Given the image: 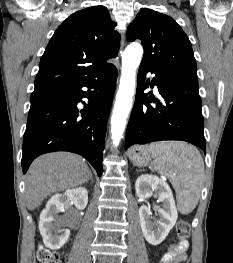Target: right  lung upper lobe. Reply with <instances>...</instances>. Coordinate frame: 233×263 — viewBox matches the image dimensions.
Instances as JSON below:
<instances>
[{
    "label": "right lung upper lobe",
    "instance_id": "1",
    "mask_svg": "<svg viewBox=\"0 0 233 263\" xmlns=\"http://www.w3.org/2000/svg\"><path fill=\"white\" fill-rule=\"evenodd\" d=\"M104 6L70 15L55 31L39 64L34 91L59 87L95 76L116 57L120 35Z\"/></svg>",
    "mask_w": 233,
    "mask_h": 263
}]
</instances>
